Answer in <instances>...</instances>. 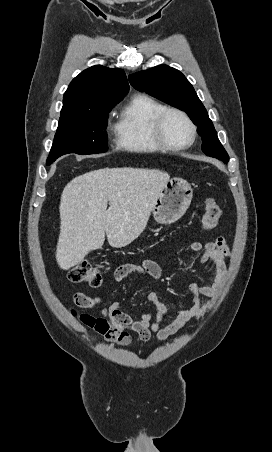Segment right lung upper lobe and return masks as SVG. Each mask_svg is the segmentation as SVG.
Masks as SVG:
<instances>
[{
	"label": "right lung upper lobe",
	"mask_w": 272,
	"mask_h": 452,
	"mask_svg": "<svg viewBox=\"0 0 272 452\" xmlns=\"http://www.w3.org/2000/svg\"><path fill=\"white\" fill-rule=\"evenodd\" d=\"M128 90L123 70L101 65L90 67L75 77L68 86L63 96L60 118L90 114L115 105Z\"/></svg>",
	"instance_id": "obj_1"
}]
</instances>
